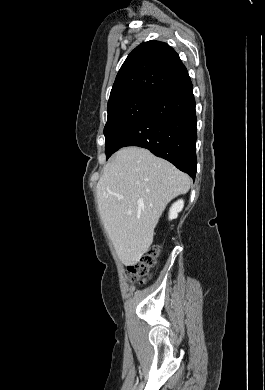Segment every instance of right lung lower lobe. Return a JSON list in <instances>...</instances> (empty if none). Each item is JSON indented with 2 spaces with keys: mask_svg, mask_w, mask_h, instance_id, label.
I'll use <instances>...</instances> for the list:
<instances>
[{
  "mask_svg": "<svg viewBox=\"0 0 265 390\" xmlns=\"http://www.w3.org/2000/svg\"><path fill=\"white\" fill-rule=\"evenodd\" d=\"M196 111L190 77L168 88L139 114L119 138L115 150L139 146L196 176Z\"/></svg>",
  "mask_w": 265,
  "mask_h": 390,
  "instance_id": "obj_1",
  "label": "right lung lower lobe"
}]
</instances>
